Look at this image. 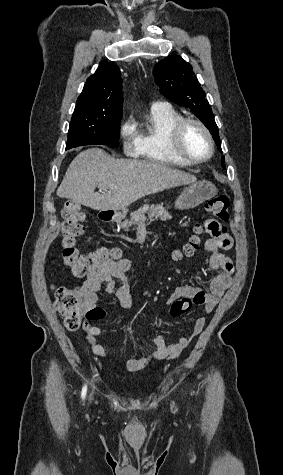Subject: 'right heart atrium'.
Masks as SVG:
<instances>
[{
    "instance_id": "obj_1",
    "label": "right heart atrium",
    "mask_w": 283,
    "mask_h": 475,
    "mask_svg": "<svg viewBox=\"0 0 283 475\" xmlns=\"http://www.w3.org/2000/svg\"><path fill=\"white\" fill-rule=\"evenodd\" d=\"M118 133L121 137L122 151L126 157H137L140 153V142L136 137L132 121L125 118L118 127Z\"/></svg>"
}]
</instances>
